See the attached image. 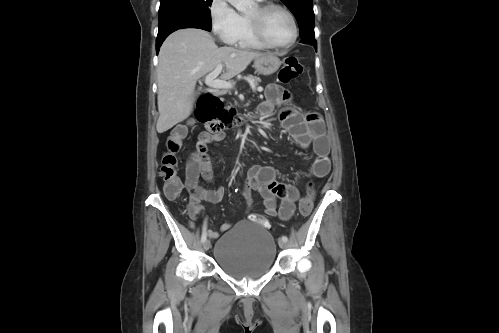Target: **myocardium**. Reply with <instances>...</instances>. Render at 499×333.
Listing matches in <instances>:
<instances>
[{
	"mask_svg": "<svg viewBox=\"0 0 499 333\" xmlns=\"http://www.w3.org/2000/svg\"><path fill=\"white\" fill-rule=\"evenodd\" d=\"M256 14L253 16L247 15L248 22L250 24L251 30L254 36L266 47L273 49H287L291 47L298 38V26L294 14L284 5L268 1L265 3L258 4L256 6ZM279 9L283 11L290 19L292 24V36L291 39L284 44L272 43L266 36L263 29V17L270 10Z\"/></svg>",
	"mask_w": 499,
	"mask_h": 333,
	"instance_id": "myocardium-1",
	"label": "myocardium"
}]
</instances>
